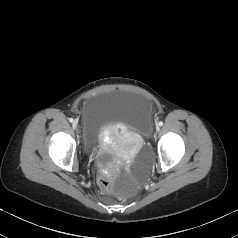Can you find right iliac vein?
Here are the masks:
<instances>
[{"instance_id": "1", "label": "right iliac vein", "mask_w": 238, "mask_h": 238, "mask_svg": "<svg viewBox=\"0 0 238 238\" xmlns=\"http://www.w3.org/2000/svg\"><path fill=\"white\" fill-rule=\"evenodd\" d=\"M77 126H78V121H77V120H74L73 123H72V127H73L74 129H76Z\"/></svg>"}]
</instances>
